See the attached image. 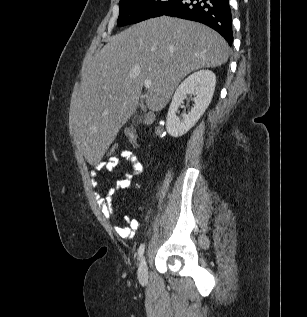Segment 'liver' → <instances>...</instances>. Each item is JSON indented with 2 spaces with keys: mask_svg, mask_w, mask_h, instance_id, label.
<instances>
[{
  "mask_svg": "<svg viewBox=\"0 0 307 317\" xmlns=\"http://www.w3.org/2000/svg\"><path fill=\"white\" fill-rule=\"evenodd\" d=\"M229 46L211 28L162 16L108 38L88 64L70 104L74 136L87 161L104 156L120 128L136 111L144 81L146 105L162 110L181 80L201 68L226 63Z\"/></svg>",
  "mask_w": 307,
  "mask_h": 317,
  "instance_id": "6515ba94",
  "label": "liver"
}]
</instances>
